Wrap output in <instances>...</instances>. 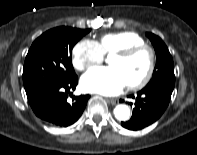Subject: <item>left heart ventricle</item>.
<instances>
[{"instance_id": "left-heart-ventricle-1", "label": "left heart ventricle", "mask_w": 197, "mask_h": 155, "mask_svg": "<svg viewBox=\"0 0 197 155\" xmlns=\"http://www.w3.org/2000/svg\"><path fill=\"white\" fill-rule=\"evenodd\" d=\"M109 65L120 71L126 84H131L139 81L145 75L149 65V58L144 52L129 58L111 56Z\"/></svg>"}]
</instances>
